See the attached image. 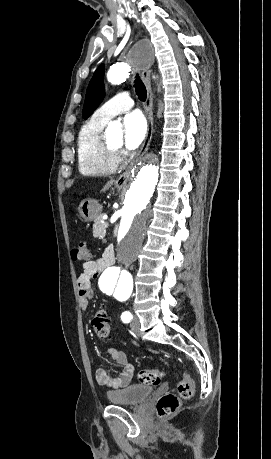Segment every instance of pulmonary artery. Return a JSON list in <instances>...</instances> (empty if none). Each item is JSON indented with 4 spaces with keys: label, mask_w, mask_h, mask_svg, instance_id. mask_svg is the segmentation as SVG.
I'll return each instance as SVG.
<instances>
[{
    "label": "pulmonary artery",
    "mask_w": 271,
    "mask_h": 459,
    "mask_svg": "<svg viewBox=\"0 0 271 459\" xmlns=\"http://www.w3.org/2000/svg\"><path fill=\"white\" fill-rule=\"evenodd\" d=\"M122 94L114 95L112 99L97 109L93 116L99 121L107 122L117 114L127 112L132 107H135V98H130L128 92L126 93L127 95H124V92Z\"/></svg>",
    "instance_id": "e3ab8cb5"
}]
</instances>
